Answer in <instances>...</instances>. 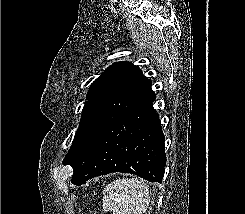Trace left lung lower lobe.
<instances>
[{"label":"left lung lower lobe","instance_id":"0a47b994","mask_svg":"<svg viewBox=\"0 0 245 214\" xmlns=\"http://www.w3.org/2000/svg\"><path fill=\"white\" fill-rule=\"evenodd\" d=\"M155 98L153 93L128 110L89 145L73 166V184L112 172L162 182L166 154L161 122L152 105Z\"/></svg>","mask_w":245,"mask_h":214}]
</instances>
